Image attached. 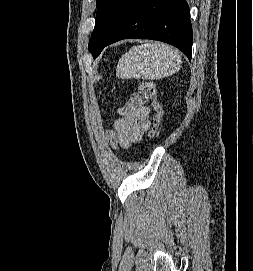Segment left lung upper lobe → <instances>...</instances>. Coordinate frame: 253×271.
<instances>
[{
	"mask_svg": "<svg viewBox=\"0 0 253 271\" xmlns=\"http://www.w3.org/2000/svg\"><path fill=\"white\" fill-rule=\"evenodd\" d=\"M130 0H97L95 27L88 49L96 58L121 18L126 13Z\"/></svg>",
	"mask_w": 253,
	"mask_h": 271,
	"instance_id": "left-lung-upper-lobe-1",
	"label": "left lung upper lobe"
}]
</instances>
